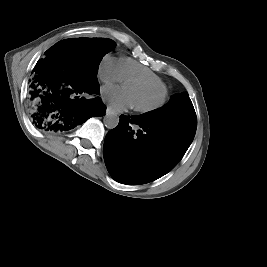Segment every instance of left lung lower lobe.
I'll return each instance as SVG.
<instances>
[{
	"label": "left lung lower lobe",
	"mask_w": 267,
	"mask_h": 267,
	"mask_svg": "<svg viewBox=\"0 0 267 267\" xmlns=\"http://www.w3.org/2000/svg\"><path fill=\"white\" fill-rule=\"evenodd\" d=\"M132 124L140 127L135 133ZM196 128L171 121L121 115L105 137L103 155L112 178L135 185L156 180L172 170L190 146Z\"/></svg>",
	"instance_id": "1"
}]
</instances>
